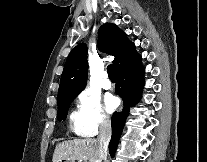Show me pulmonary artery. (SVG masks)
Wrapping results in <instances>:
<instances>
[{"mask_svg": "<svg viewBox=\"0 0 207 162\" xmlns=\"http://www.w3.org/2000/svg\"><path fill=\"white\" fill-rule=\"evenodd\" d=\"M101 87L106 90H109L112 87L111 81L109 80L106 72L102 73Z\"/></svg>", "mask_w": 207, "mask_h": 162, "instance_id": "e3ab8cb5", "label": "pulmonary artery"}]
</instances>
